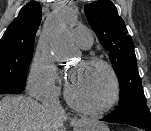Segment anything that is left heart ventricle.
I'll use <instances>...</instances> for the list:
<instances>
[{"label": "left heart ventricle", "mask_w": 151, "mask_h": 131, "mask_svg": "<svg viewBox=\"0 0 151 131\" xmlns=\"http://www.w3.org/2000/svg\"><path fill=\"white\" fill-rule=\"evenodd\" d=\"M68 84L75 99L93 107L104 104L112 89L110 76L103 67L82 62L72 68Z\"/></svg>", "instance_id": "1"}]
</instances>
